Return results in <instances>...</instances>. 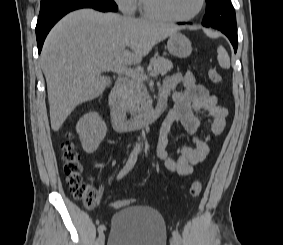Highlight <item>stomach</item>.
Returning <instances> with one entry per match:
<instances>
[{"mask_svg":"<svg viewBox=\"0 0 283 245\" xmlns=\"http://www.w3.org/2000/svg\"><path fill=\"white\" fill-rule=\"evenodd\" d=\"M167 49L171 55L179 58H186L192 53L190 40L180 32L170 35L167 41Z\"/></svg>","mask_w":283,"mask_h":245,"instance_id":"stomach-1","label":"stomach"}]
</instances>
